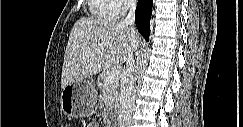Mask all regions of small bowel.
I'll use <instances>...</instances> for the list:
<instances>
[{"instance_id": "c3829d8e", "label": "small bowel", "mask_w": 243, "mask_h": 127, "mask_svg": "<svg viewBox=\"0 0 243 127\" xmlns=\"http://www.w3.org/2000/svg\"><path fill=\"white\" fill-rule=\"evenodd\" d=\"M89 127H97L98 125L96 124V123H90L89 125H88Z\"/></svg>"}]
</instances>
